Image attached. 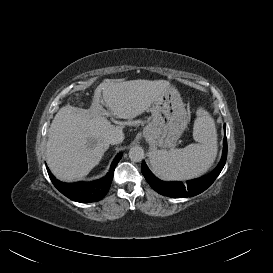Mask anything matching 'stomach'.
<instances>
[{
	"mask_svg": "<svg viewBox=\"0 0 273 273\" xmlns=\"http://www.w3.org/2000/svg\"><path fill=\"white\" fill-rule=\"evenodd\" d=\"M151 121L144 129V136L154 146L171 148L184 132L188 116L179 92L174 87L164 90L153 102Z\"/></svg>",
	"mask_w": 273,
	"mask_h": 273,
	"instance_id": "0dacf381",
	"label": "stomach"
}]
</instances>
